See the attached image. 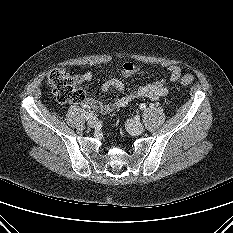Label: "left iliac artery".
Returning a JSON list of instances; mask_svg holds the SVG:
<instances>
[{
    "label": "left iliac artery",
    "mask_w": 233,
    "mask_h": 233,
    "mask_svg": "<svg viewBox=\"0 0 233 233\" xmlns=\"http://www.w3.org/2000/svg\"><path fill=\"white\" fill-rule=\"evenodd\" d=\"M151 107H153V105H152ZM140 109H141V110L146 109V105L142 103V104L140 105Z\"/></svg>",
    "instance_id": "obj_1"
}]
</instances>
